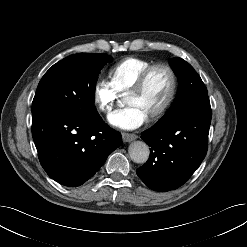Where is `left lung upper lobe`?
Segmentation results:
<instances>
[{
    "label": "left lung upper lobe",
    "mask_w": 247,
    "mask_h": 247,
    "mask_svg": "<svg viewBox=\"0 0 247 247\" xmlns=\"http://www.w3.org/2000/svg\"><path fill=\"white\" fill-rule=\"evenodd\" d=\"M169 63L178 77L180 84L178 94L167 111V113H173L182 109L196 96L208 93L200 76L189 63L181 58H172Z\"/></svg>",
    "instance_id": "5c2ea615"
}]
</instances>
